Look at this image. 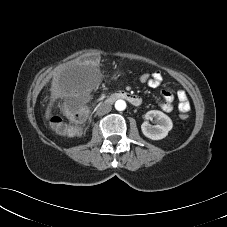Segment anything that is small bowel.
Masks as SVG:
<instances>
[{
    "instance_id": "obj_1",
    "label": "small bowel",
    "mask_w": 227,
    "mask_h": 227,
    "mask_svg": "<svg viewBox=\"0 0 227 227\" xmlns=\"http://www.w3.org/2000/svg\"><path fill=\"white\" fill-rule=\"evenodd\" d=\"M162 74L160 71H154L152 73V79L148 86L152 88L158 87L162 82ZM162 96L164 101L159 104L160 108L165 112H171L174 107V95L170 90H162ZM177 98L179 100L178 109L180 112H189L191 109L190 102L186 93L183 90L177 92Z\"/></svg>"
}]
</instances>
